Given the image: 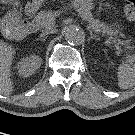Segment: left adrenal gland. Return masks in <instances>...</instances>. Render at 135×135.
Instances as JSON below:
<instances>
[{"label":"left adrenal gland","mask_w":135,"mask_h":135,"mask_svg":"<svg viewBox=\"0 0 135 135\" xmlns=\"http://www.w3.org/2000/svg\"><path fill=\"white\" fill-rule=\"evenodd\" d=\"M89 33H90V37L88 38V41H91L93 39L97 40L96 36L93 34L91 30H89Z\"/></svg>","instance_id":"left-adrenal-gland-1"}]
</instances>
